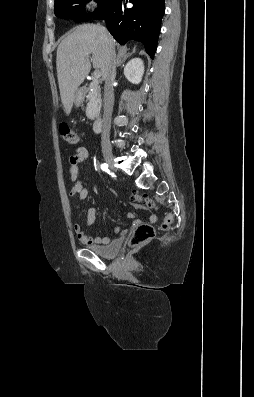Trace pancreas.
<instances>
[{
	"mask_svg": "<svg viewBox=\"0 0 254 397\" xmlns=\"http://www.w3.org/2000/svg\"><path fill=\"white\" fill-rule=\"evenodd\" d=\"M87 110L86 116L90 120H94L100 111L101 108V94L100 87L96 81H93L89 85V93L87 95Z\"/></svg>",
	"mask_w": 254,
	"mask_h": 397,
	"instance_id": "1",
	"label": "pancreas"
}]
</instances>
